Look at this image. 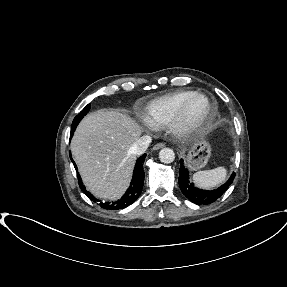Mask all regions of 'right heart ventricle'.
Returning <instances> with one entry per match:
<instances>
[{
    "instance_id": "1",
    "label": "right heart ventricle",
    "mask_w": 287,
    "mask_h": 287,
    "mask_svg": "<svg viewBox=\"0 0 287 287\" xmlns=\"http://www.w3.org/2000/svg\"><path fill=\"white\" fill-rule=\"evenodd\" d=\"M194 91H175L148 102L143 108L144 120L154 127L168 124L181 105L192 96Z\"/></svg>"
}]
</instances>
